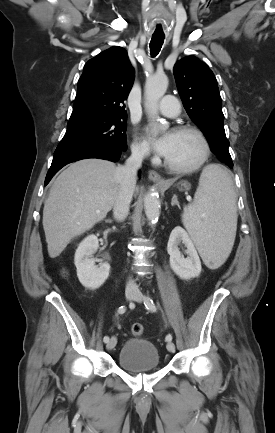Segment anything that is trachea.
<instances>
[{
	"label": "trachea",
	"mask_w": 275,
	"mask_h": 433,
	"mask_svg": "<svg viewBox=\"0 0 275 433\" xmlns=\"http://www.w3.org/2000/svg\"><path fill=\"white\" fill-rule=\"evenodd\" d=\"M165 36L164 35H153L150 41V52L151 56L155 57L159 54L163 45Z\"/></svg>",
	"instance_id": "trachea-1"
}]
</instances>
